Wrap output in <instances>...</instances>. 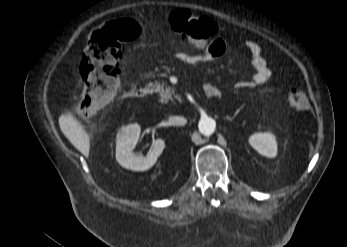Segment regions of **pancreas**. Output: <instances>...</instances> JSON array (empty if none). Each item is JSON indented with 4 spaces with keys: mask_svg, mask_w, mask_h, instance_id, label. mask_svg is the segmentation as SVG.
Returning a JSON list of instances; mask_svg holds the SVG:
<instances>
[{
    "mask_svg": "<svg viewBox=\"0 0 347 247\" xmlns=\"http://www.w3.org/2000/svg\"><path fill=\"white\" fill-rule=\"evenodd\" d=\"M154 91L159 93L160 95V101L163 103H167L169 100L173 101L172 96L175 95L174 89H171L168 86H164L163 84L161 85L159 82H155L153 84ZM175 98L181 101V98L179 95H175Z\"/></svg>",
    "mask_w": 347,
    "mask_h": 247,
    "instance_id": "cf45deb5",
    "label": "pancreas"
}]
</instances>
